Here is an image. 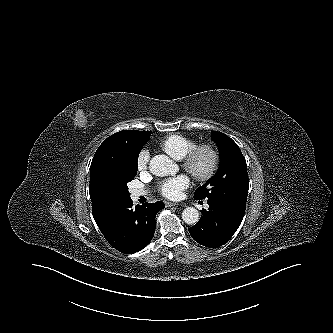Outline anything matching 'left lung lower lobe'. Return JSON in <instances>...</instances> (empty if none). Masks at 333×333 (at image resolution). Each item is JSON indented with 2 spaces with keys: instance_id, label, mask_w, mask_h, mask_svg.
Returning <instances> with one entry per match:
<instances>
[{
  "instance_id": "obj_1",
  "label": "left lung lower lobe",
  "mask_w": 333,
  "mask_h": 333,
  "mask_svg": "<svg viewBox=\"0 0 333 333\" xmlns=\"http://www.w3.org/2000/svg\"><path fill=\"white\" fill-rule=\"evenodd\" d=\"M208 210L202 211L201 219L189 232L199 244L216 248L224 245L240 226L245 210L232 205L208 199Z\"/></svg>"
}]
</instances>
